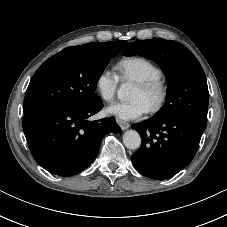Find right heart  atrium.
<instances>
[{"label":"right heart atrium","mask_w":227,"mask_h":227,"mask_svg":"<svg viewBox=\"0 0 227 227\" xmlns=\"http://www.w3.org/2000/svg\"><path fill=\"white\" fill-rule=\"evenodd\" d=\"M119 76L109 68L102 69L95 79L97 94L104 101H111L117 91Z\"/></svg>","instance_id":"right-heart-atrium-1"}]
</instances>
